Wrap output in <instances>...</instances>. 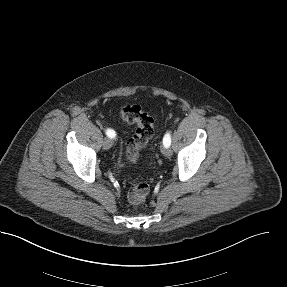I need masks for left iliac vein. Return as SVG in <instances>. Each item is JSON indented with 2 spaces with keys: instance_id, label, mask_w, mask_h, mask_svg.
I'll use <instances>...</instances> for the list:
<instances>
[{
  "instance_id": "obj_1",
  "label": "left iliac vein",
  "mask_w": 287,
  "mask_h": 287,
  "mask_svg": "<svg viewBox=\"0 0 287 287\" xmlns=\"http://www.w3.org/2000/svg\"><path fill=\"white\" fill-rule=\"evenodd\" d=\"M162 154L166 157H170L172 155V150L169 147L162 148Z\"/></svg>"
}]
</instances>
